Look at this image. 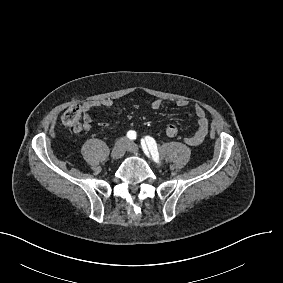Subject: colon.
Here are the masks:
<instances>
[{
	"instance_id": "1",
	"label": "colon",
	"mask_w": 283,
	"mask_h": 283,
	"mask_svg": "<svg viewBox=\"0 0 283 283\" xmlns=\"http://www.w3.org/2000/svg\"><path fill=\"white\" fill-rule=\"evenodd\" d=\"M62 121L66 127L78 132L82 128V114L79 105H72L66 109L62 116ZM165 132L168 136L174 137L179 133V127L175 123L166 126Z\"/></svg>"
}]
</instances>
